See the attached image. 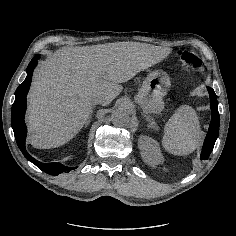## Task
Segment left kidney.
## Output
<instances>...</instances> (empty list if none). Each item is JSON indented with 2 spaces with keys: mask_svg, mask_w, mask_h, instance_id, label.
<instances>
[{
  "mask_svg": "<svg viewBox=\"0 0 236 236\" xmlns=\"http://www.w3.org/2000/svg\"><path fill=\"white\" fill-rule=\"evenodd\" d=\"M139 149L141 151L143 160L152 166L161 163L162 155L158 144L147 136L139 138Z\"/></svg>",
  "mask_w": 236,
  "mask_h": 236,
  "instance_id": "left-kidney-1",
  "label": "left kidney"
}]
</instances>
